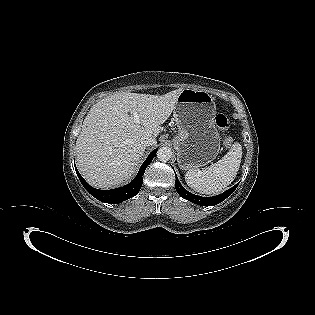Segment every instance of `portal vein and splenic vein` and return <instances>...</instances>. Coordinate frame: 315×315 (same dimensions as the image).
<instances>
[{
  "label": "portal vein and splenic vein",
  "mask_w": 315,
  "mask_h": 315,
  "mask_svg": "<svg viewBox=\"0 0 315 315\" xmlns=\"http://www.w3.org/2000/svg\"><path fill=\"white\" fill-rule=\"evenodd\" d=\"M133 117H134L135 122L139 123V115L137 114V112L133 113Z\"/></svg>",
  "instance_id": "portal-vein-and-splenic-vein-1"
}]
</instances>
